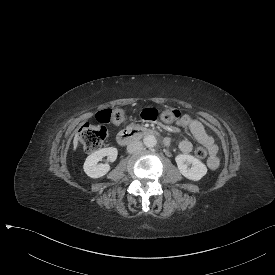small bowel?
I'll list each match as a JSON object with an SVG mask.
<instances>
[{
  "mask_svg": "<svg viewBox=\"0 0 275 275\" xmlns=\"http://www.w3.org/2000/svg\"><path fill=\"white\" fill-rule=\"evenodd\" d=\"M179 128L188 130L199 144L203 145L209 150L210 157L207 160V166L211 170H216L219 167V159L217 157L218 148L214 142L213 137L206 132L203 124L197 119L186 116L178 123L177 126L168 127L169 131L171 132H176ZM171 141L169 146L173 144ZM178 148L182 153L188 154L192 151L193 144L189 140H182L178 143Z\"/></svg>",
  "mask_w": 275,
  "mask_h": 275,
  "instance_id": "small-bowel-1",
  "label": "small bowel"
}]
</instances>
